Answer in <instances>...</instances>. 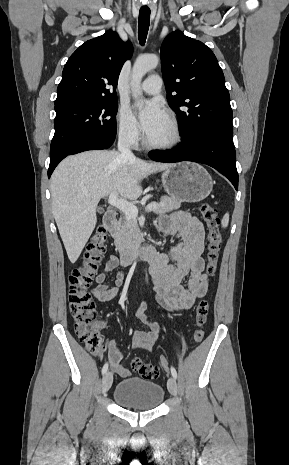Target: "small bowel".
<instances>
[{"mask_svg":"<svg viewBox=\"0 0 289 465\" xmlns=\"http://www.w3.org/2000/svg\"><path fill=\"white\" fill-rule=\"evenodd\" d=\"M159 227L167 234L176 235L179 242L166 253L160 254L159 261L152 264L150 270L153 282L152 292L159 308L184 311L191 308L195 300L203 297L208 289L202 258L203 224L191 214L179 211L162 217ZM118 267L119 261L112 255L102 268V272L96 276L97 285L92 289V294L98 301L107 302L119 295L125 280V273L117 271ZM114 272H116L114 285L106 283L108 276ZM145 309L146 305L141 306L136 313V318L146 324L149 330H135L132 336V346L138 350L149 351L159 337L160 327L147 318L144 314ZM99 325L104 326L103 323ZM107 348V357L112 370L121 377L131 376V370L121 364L123 354L116 340H110Z\"/></svg>","mask_w":289,"mask_h":465,"instance_id":"c3829d8e","label":"small bowel"}]
</instances>
